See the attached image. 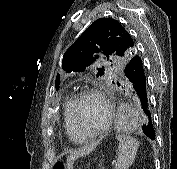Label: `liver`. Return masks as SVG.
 I'll return each instance as SVG.
<instances>
[{"instance_id": "6515ba94", "label": "liver", "mask_w": 177, "mask_h": 169, "mask_svg": "<svg viewBox=\"0 0 177 169\" xmlns=\"http://www.w3.org/2000/svg\"><path fill=\"white\" fill-rule=\"evenodd\" d=\"M86 153H87V151H85V150H79V151L72 153L67 159L68 167L72 166V164L76 158H78Z\"/></svg>"}]
</instances>
